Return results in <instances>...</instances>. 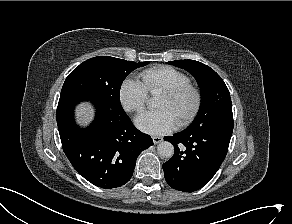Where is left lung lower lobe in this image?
<instances>
[{
  "label": "left lung lower lobe",
  "mask_w": 292,
  "mask_h": 224,
  "mask_svg": "<svg viewBox=\"0 0 292 224\" xmlns=\"http://www.w3.org/2000/svg\"><path fill=\"white\" fill-rule=\"evenodd\" d=\"M232 131L233 123H224L164 137L175 148L173 157L163 164L168 185L193 192L207 184L226 157Z\"/></svg>",
  "instance_id": "obj_1"
}]
</instances>
